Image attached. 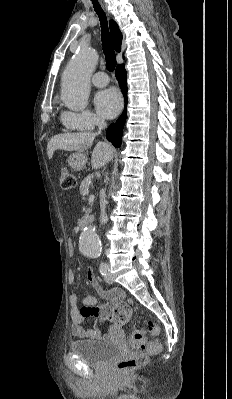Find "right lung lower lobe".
I'll use <instances>...</instances> for the list:
<instances>
[{
  "label": "right lung lower lobe",
  "mask_w": 232,
  "mask_h": 399,
  "mask_svg": "<svg viewBox=\"0 0 232 399\" xmlns=\"http://www.w3.org/2000/svg\"><path fill=\"white\" fill-rule=\"evenodd\" d=\"M120 88L125 99V108L122 115L118 118L115 124H111L106 132V137L115 147L121 146L122 128L126 119V106H127V76L124 65H118L115 71Z\"/></svg>",
  "instance_id": "obj_1"
}]
</instances>
